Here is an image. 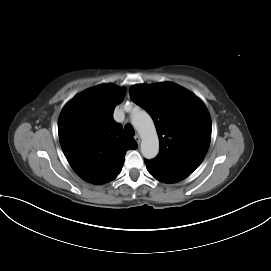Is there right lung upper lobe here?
Returning <instances> with one entry per match:
<instances>
[{
  "instance_id": "right-lung-upper-lobe-1",
  "label": "right lung upper lobe",
  "mask_w": 271,
  "mask_h": 271,
  "mask_svg": "<svg viewBox=\"0 0 271 271\" xmlns=\"http://www.w3.org/2000/svg\"><path fill=\"white\" fill-rule=\"evenodd\" d=\"M124 95V88L95 86L75 96L60 114L58 133L64 155L89 183L112 181L122 170L126 151L137 148L112 117Z\"/></svg>"
}]
</instances>
